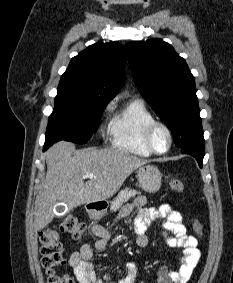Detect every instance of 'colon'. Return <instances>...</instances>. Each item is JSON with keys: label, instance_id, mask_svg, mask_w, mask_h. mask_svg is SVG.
I'll list each match as a JSON object with an SVG mask.
<instances>
[{"label": "colon", "instance_id": "colon-1", "mask_svg": "<svg viewBox=\"0 0 233 283\" xmlns=\"http://www.w3.org/2000/svg\"><path fill=\"white\" fill-rule=\"evenodd\" d=\"M169 185L173 191L182 192L184 190V184L178 178H171ZM193 227L201 238L203 236L201 222L194 220ZM61 233H69L75 239L81 240L87 234V227L77 218L68 216L58 226H48L42 229L39 233L42 265L46 269L48 283H75L72 277L57 271L65 263L62 244L59 241Z\"/></svg>", "mask_w": 233, "mask_h": 283}]
</instances>
